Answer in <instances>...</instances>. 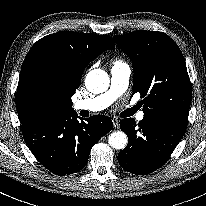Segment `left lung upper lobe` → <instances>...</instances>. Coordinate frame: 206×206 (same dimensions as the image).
Returning a JSON list of instances; mask_svg holds the SVG:
<instances>
[{
	"label": "left lung upper lobe",
	"mask_w": 206,
	"mask_h": 206,
	"mask_svg": "<svg viewBox=\"0 0 206 206\" xmlns=\"http://www.w3.org/2000/svg\"><path fill=\"white\" fill-rule=\"evenodd\" d=\"M114 40L132 60L133 94L143 98L144 116L187 124L192 90L177 44L165 33L145 30L116 35Z\"/></svg>",
	"instance_id": "obj_1"
}]
</instances>
